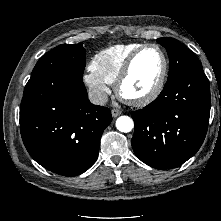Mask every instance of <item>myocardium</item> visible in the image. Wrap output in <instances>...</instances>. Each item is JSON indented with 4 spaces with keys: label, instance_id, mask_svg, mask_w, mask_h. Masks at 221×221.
I'll list each match as a JSON object with an SVG mask.
<instances>
[{
    "label": "myocardium",
    "instance_id": "myocardium-1",
    "mask_svg": "<svg viewBox=\"0 0 221 221\" xmlns=\"http://www.w3.org/2000/svg\"><path fill=\"white\" fill-rule=\"evenodd\" d=\"M151 47L156 48L160 52L161 57H162V69H161L159 78H158L155 86L153 87V89L150 92H148L147 94H145L141 97H136V98L128 97L122 91L123 84L130 76L133 65H134L136 59L138 58V56L144 50H146L147 48H151ZM167 75H168V58H167V55H166L164 49L158 44L146 43V44L141 45L136 50H134L130 54L128 59L126 60L121 72L119 73V75L115 81V91H116L118 97L120 99H122L124 102L129 103L134 106H145V105H148L151 102H153L161 94V92L165 86Z\"/></svg>",
    "mask_w": 221,
    "mask_h": 221
}]
</instances>
